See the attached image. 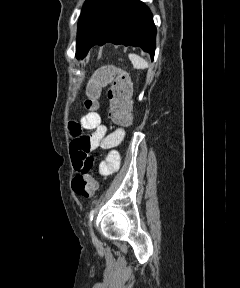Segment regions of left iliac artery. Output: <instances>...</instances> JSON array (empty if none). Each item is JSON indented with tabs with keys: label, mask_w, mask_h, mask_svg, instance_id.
<instances>
[{
	"label": "left iliac artery",
	"mask_w": 240,
	"mask_h": 288,
	"mask_svg": "<svg viewBox=\"0 0 240 288\" xmlns=\"http://www.w3.org/2000/svg\"><path fill=\"white\" fill-rule=\"evenodd\" d=\"M94 212H95V210L92 209V210L90 211V213H89V219H90V221L93 220Z\"/></svg>",
	"instance_id": "obj_1"
}]
</instances>
